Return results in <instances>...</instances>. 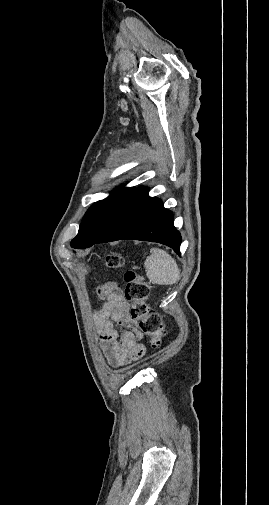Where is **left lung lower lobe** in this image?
<instances>
[{"instance_id":"left-lung-lower-lobe-1","label":"left lung lower lobe","mask_w":269,"mask_h":505,"mask_svg":"<svg viewBox=\"0 0 269 505\" xmlns=\"http://www.w3.org/2000/svg\"><path fill=\"white\" fill-rule=\"evenodd\" d=\"M122 239L158 242L180 255L182 238L174 227L173 214L163 207L160 199L148 196L147 187L140 186L135 190L110 229L96 243Z\"/></svg>"}]
</instances>
